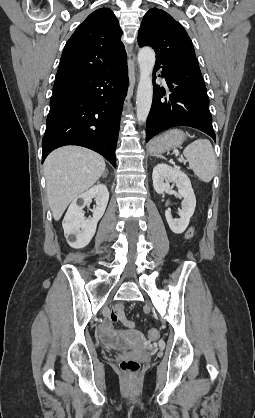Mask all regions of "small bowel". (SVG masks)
<instances>
[{
	"instance_id": "1",
	"label": "small bowel",
	"mask_w": 255,
	"mask_h": 418,
	"mask_svg": "<svg viewBox=\"0 0 255 418\" xmlns=\"http://www.w3.org/2000/svg\"><path fill=\"white\" fill-rule=\"evenodd\" d=\"M188 234L190 236H194L196 234V231L194 229H190L188 231ZM117 320L122 321L130 328L132 327V323L125 318L121 305L115 306L113 313L110 316V321H117ZM100 335L104 343H106L107 345L117 344L119 337H120V333L113 330L110 324H106L101 329ZM125 335L129 337H133V338L139 337L138 333L134 331L133 329H129L127 332H125Z\"/></svg>"
}]
</instances>
